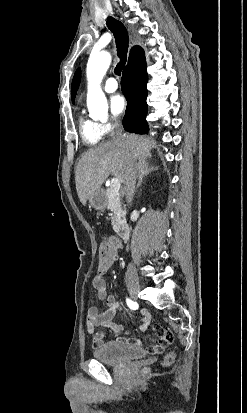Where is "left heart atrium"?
Returning <instances> with one entry per match:
<instances>
[{"mask_svg": "<svg viewBox=\"0 0 247 413\" xmlns=\"http://www.w3.org/2000/svg\"><path fill=\"white\" fill-rule=\"evenodd\" d=\"M109 105L112 113L119 115L126 107L124 98L120 94H116L110 97Z\"/></svg>", "mask_w": 247, "mask_h": 413, "instance_id": "39dd6f15", "label": "left heart atrium"}]
</instances>
